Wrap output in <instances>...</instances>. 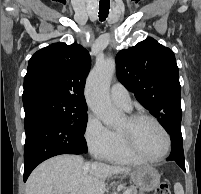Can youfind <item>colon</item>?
Wrapping results in <instances>:
<instances>
[{
  "instance_id": "1",
  "label": "colon",
  "mask_w": 201,
  "mask_h": 194,
  "mask_svg": "<svg viewBox=\"0 0 201 194\" xmlns=\"http://www.w3.org/2000/svg\"><path fill=\"white\" fill-rule=\"evenodd\" d=\"M154 194H171L167 183H161L155 190Z\"/></svg>"
}]
</instances>
